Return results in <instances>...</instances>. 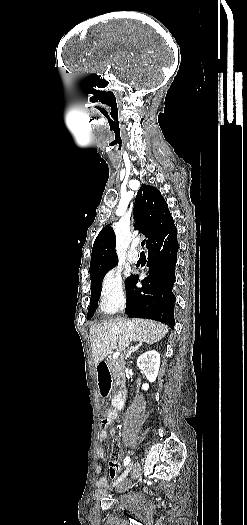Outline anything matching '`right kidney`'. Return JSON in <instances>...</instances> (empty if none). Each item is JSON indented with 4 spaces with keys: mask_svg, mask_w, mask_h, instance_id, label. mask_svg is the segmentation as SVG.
<instances>
[{
    "mask_svg": "<svg viewBox=\"0 0 247 525\" xmlns=\"http://www.w3.org/2000/svg\"><path fill=\"white\" fill-rule=\"evenodd\" d=\"M160 355L157 351H147L143 353L141 357L137 359V367L145 373L149 383H154L158 377V371L160 367ZM143 391H148L149 385L145 383L142 385Z\"/></svg>",
    "mask_w": 247,
    "mask_h": 525,
    "instance_id": "obj_1",
    "label": "right kidney"
}]
</instances>
